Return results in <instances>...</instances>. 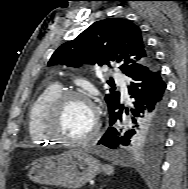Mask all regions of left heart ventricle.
I'll use <instances>...</instances> for the list:
<instances>
[{"label": "left heart ventricle", "instance_id": "1", "mask_svg": "<svg viewBox=\"0 0 188 189\" xmlns=\"http://www.w3.org/2000/svg\"><path fill=\"white\" fill-rule=\"evenodd\" d=\"M94 120L93 111L86 102L70 100L60 111L56 130L67 138H81L91 131Z\"/></svg>", "mask_w": 188, "mask_h": 189}]
</instances>
